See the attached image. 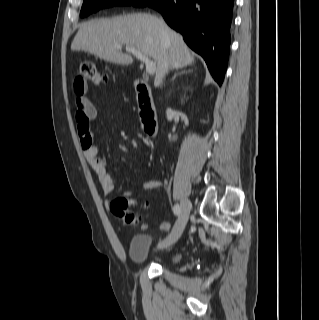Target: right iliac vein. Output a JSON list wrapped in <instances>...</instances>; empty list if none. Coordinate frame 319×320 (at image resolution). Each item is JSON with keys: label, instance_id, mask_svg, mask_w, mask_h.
<instances>
[{"label": "right iliac vein", "instance_id": "obj_1", "mask_svg": "<svg viewBox=\"0 0 319 320\" xmlns=\"http://www.w3.org/2000/svg\"><path fill=\"white\" fill-rule=\"evenodd\" d=\"M191 209V202L188 199L184 198L181 201V214L172 232L159 244V247L167 248L178 241L186 227Z\"/></svg>", "mask_w": 319, "mask_h": 320}]
</instances>
